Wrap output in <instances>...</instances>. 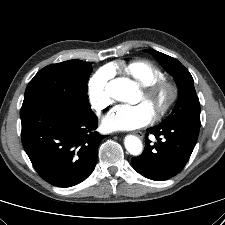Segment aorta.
Wrapping results in <instances>:
<instances>
[{
    "label": "aorta",
    "instance_id": "1",
    "mask_svg": "<svg viewBox=\"0 0 225 225\" xmlns=\"http://www.w3.org/2000/svg\"><path fill=\"white\" fill-rule=\"evenodd\" d=\"M136 90L137 85L128 78L113 79L106 86V92L108 95L122 102H130ZM124 145L131 155L138 156L142 153V142L134 135L126 136L124 139Z\"/></svg>",
    "mask_w": 225,
    "mask_h": 225
}]
</instances>
